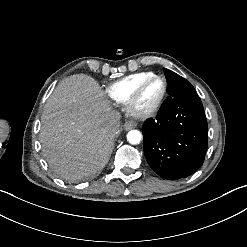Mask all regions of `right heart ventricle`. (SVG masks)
<instances>
[{
	"label": "right heart ventricle",
	"mask_w": 247,
	"mask_h": 247,
	"mask_svg": "<svg viewBox=\"0 0 247 247\" xmlns=\"http://www.w3.org/2000/svg\"><path fill=\"white\" fill-rule=\"evenodd\" d=\"M152 72H142L126 76L114 83H112L106 91V95L109 96L114 102L123 104L132 93L134 87L144 78L153 75Z\"/></svg>",
	"instance_id": "1"
}]
</instances>
